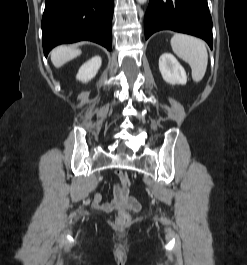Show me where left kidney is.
I'll return each mask as SVG.
<instances>
[{
	"mask_svg": "<svg viewBox=\"0 0 247 265\" xmlns=\"http://www.w3.org/2000/svg\"><path fill=\"white\" fill-rule=\"evenodd\" d=\"M159 70L163 79L171 85H185L187 83V76L184 68L170 53H164L160 56Z\"/></svg>",
	"mask_w": 247,
	"mask_h": 265,
	"instance_id": "left-kidney-1",
	"label": "left kidney"
}]
</instances>
